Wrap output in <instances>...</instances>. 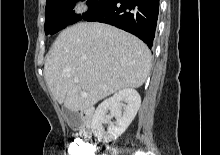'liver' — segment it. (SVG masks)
<instances>
[{"label":"liver","instance_id":"liver-1","mask_svg":"<svg viewBox=\"0 0 220 155\" xmlns=\"http://www.w3.org/2000/svg\"><path fill=\"white\" fill-rule=\"evenodd\" d=\"M150 67V50L137 37L107 24L80 22L56 38L44 76L59 104L78 112L122 89L141 87Z\"/></svg>","mask_w":220,"mask_h":155}]
</instances>
